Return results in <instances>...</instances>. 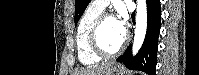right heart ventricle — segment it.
Here are the masks:
<instances>
[{"mask_svg": "<svg viewBox=\"0 0 199 75\" xmlns=\"http://www.w3.org/2000/svg\"><path fill=\"white\" fill-rule=\"evenodd\" d=\"M102 13V10L90 5L82 14L76 31V48L79 61L84 65H93L101 60L96 55L88 41V33L95 18Z\"/></svg>", "mask_w": 199, "mask_h": 75, "instance_id": "1", "label": "right heart ventricle"}]
</instances>
